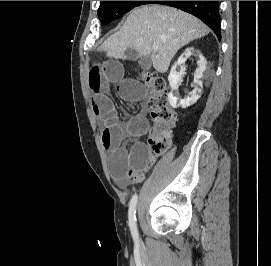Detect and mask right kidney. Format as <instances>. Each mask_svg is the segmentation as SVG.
Returning <instances> with one entry per match:
<instances>
[{
	"label": "right kidney",
	"instance_id": "right-kidney-1",
	"mask_svg": "<svg viewBox=\"0 0 271 266\" xmlns=\"http://www.w3.org/2000/svg\"><path fill=\"white\" fill-rule=\"evenodd\" d=\"M191 55H196L198 57V68L194 73V83L196 86L185 99H180L176 91L178 90L182 75L185 71L184 63ZM206 64L207 61L204 56L196 52L193 47L186 48L185 51L181 54L177 63L171 68L170 74L168 76V81L171 88V92L168 94V100L173 108H187L196 103L197 100L201 97L203 87L202 78L206 70ZM178 66H180L179 71L177 70Z\"/></svg>",
	"mask_w": 271,
	"mask_h": 266
}]
</instances>
